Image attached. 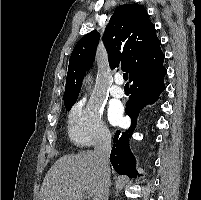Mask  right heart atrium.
Segmentation results:
<instances>
[{"label":"right heart atrium","instance_id":"1","mask_svg":"<svg viewBox=\"0 0 201 200\" xmlns=\"http://www.w3.org/2000/svg\"><path fill=\"white\" fill-rule=\"evenodd\" d=\"M68 135L78 145H105L111 134L106 127L101 108L91 101L80 100L68 116Z\"/></svg>","mask_w":201,"mask_h":200}]
</instances>
